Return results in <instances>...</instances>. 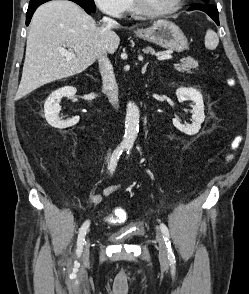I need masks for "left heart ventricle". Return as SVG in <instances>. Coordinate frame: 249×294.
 I'll return each instance as SVG.
<instances>
[{
	"label": "left heart ventricle",
	"mask_w": 249,
	"mask_h": 294,
	"mask_svg": "<svg viewBox=\"0 0 249 294\" xmlns=\"http://www.w3.org/2000/svg\"><path fill=\"white\" fill-rule=\"evenodd\" d=\"M145 5L152 10H166L174 6L177 0H144Z\"/></svg>",
	"instance_id": "1"
}]
</instances>
